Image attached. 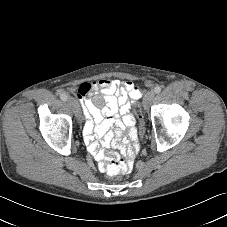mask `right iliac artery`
<instances>
[{
  "instance_id": "1",
  "label": "right iliac artery",
  "mask_w": 227,
  "mask_h": 227,
  "mask_svg": "<svg viewBox=\"0 0 227 227\" xmlns=\"http://www.w3.org/2000/svg\"><path fill=\"white\" fill-rule=\"evenodd\" d=\"M60 98H61V100L66 101L67 100V95L65 93H61L60 94Z\"/></svg>"
}]
</instances>
